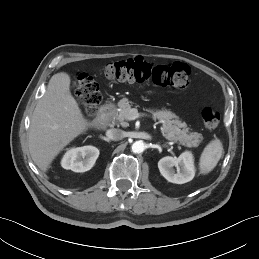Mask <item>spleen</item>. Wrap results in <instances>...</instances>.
Wrapping results in <instances>:
<instances>
[{
	"label": "spleen",
	"mask_w": 259,
	"mask_h": 259,
	"mask_svg": "<svg viewBox=\"0 0 259 259\" xmlns=\"http://www.w3.org/2000/svg\"><path fill=\"white\" fill-rule=\"evenodd\" d=\"M223 153V145L219 139L210 141L204 148L200 160L199 169L202 174L211 172L219 162Z\"/></svg>",
	"instance_id": "3e777b00"
}]
</instances>
